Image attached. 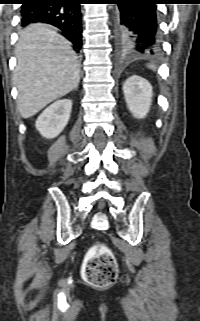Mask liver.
Here are the masks:
<instances>
[{"instance_id":"6515ba94","label":"liver","mask_w":200,"mask_h":321,"mask_svg":"<svg viewBox=\"0 0 200 321\" xmlns=\"http://www.w3.org/2000/svg\"><path fill=\"white\" fill-rule=\"evenodd\" d=\"M13 81L17 106L27 119L76 88L80 66L71 43L50 26L37 23L25 28L15 48Z\"/></svg>"}]
</instances>
